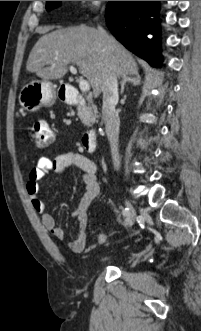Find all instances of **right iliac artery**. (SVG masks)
Masks as SVG:
<instances>
[{
  "label": "right iliac artery",
  "mask_w": 201,
  "mask_h": 331,
  "mask_svg": "<svg viewBox=\"0 0 201 331\" xmlns=\"http://www.w3.org/2000/svg\"><path fill=\"white\" fill-rule=\"evenodd\" d=\"M122 213H123L124 216L127 215V214H128V209L125 208V209L122 211Z\"/></svg>",
  "instance_id": "obj_1"
}]
</instances>
